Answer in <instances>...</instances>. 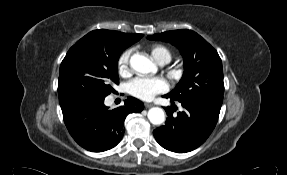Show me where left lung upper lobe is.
<instances>
[{"label":"left lung upper lobe","mask_w":287,"mask_h":175,"mask_svg":"<svg viewBox=\"0 0 287 175\" xmlns=\"http://www.w3.org/2000/svg\"><path fill=\"white\" fill-rule=\"evenodd\" d=\"M148 39L170 42L183 56V77L167 95L174 101L202 105L219 115L224 83L222 62L217 51L199 34L187 29L154 34Z\"/></svg>","instance_id":"5c2ea615"}]
</instances>
